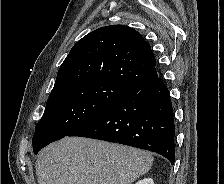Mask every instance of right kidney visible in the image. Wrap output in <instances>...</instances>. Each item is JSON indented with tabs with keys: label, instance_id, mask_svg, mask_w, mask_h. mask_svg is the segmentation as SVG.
<instances>
[{
	"label": "right kidney",
	"instance_id": "ca27d5eb",
	"mask_svg": "<svg viewBox=\"0 0 224 184\" xmlns=\"http://www.w3.org/2000/svg\"><path fill=\"white\" fill-rule=\"evenodd\" d=\"M135 184H154V181L152 178H144L142 180H139L137 183Z\"/></svg>",
	"mask_w": 224,
	"mask_h": 184
}]
</instances>
